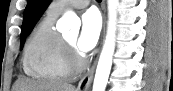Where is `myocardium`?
<instances>
[{
  "mask_svg": "<svg viewBox=\"0 0 173 91\" xmlns=\"http://www.w3.org/2000/svg\"><path fill=\"white\" fill-rule=\"evenodd\" d=\"M64 47L67 65L71 73L80 72L85 65L83 58L77 53L75 47L68 41L64 40Z\"/></svg>",
  "mask_w": 173,
  "mask_h": 91,
  "instance_id": "myocardium-1",
  "label": "myocardium"
}]
</instances>
